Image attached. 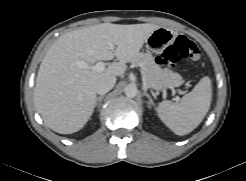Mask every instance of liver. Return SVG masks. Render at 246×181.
<instances>
[{"label":"liver","mask_w":246,"mask_h":181,"mask_svg":"<svg viewBox=\"0 0 246 181\" xmlns=\"http://www.w3.org/2000/svg\"><path fill=\"white\" fill-rule=\"evenodd\" d=\"M159 27L150 23H101L60 36L40 64L34 89L35 106L46 126L60 134L82 129L96 106L97 82L106 76H122L127 63ZM111 44L116 49H111ZM114 57L119 62L101 72L92 69L97 61ZM78 61L87 67L78 66Z\"/></svg>","instance_id":"obj_1"}]
</instances>
